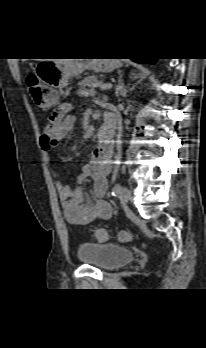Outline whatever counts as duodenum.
<instances>
[{
	"label": "duodenum",
	"mask_w": 206,
	"mask_h": 348,
	"mask_svg": "<svg viewBox=\"0 0 206 348\" xmlns=\"http://www.w3.org/2000/svg\"><path fill=\"white\" fill-rule=\"evenodd\" d=\"M115 135V116L112 112L105 113L104 125L97 131L96 140L100 147L113 149V138Z\"/></svg>",
	"instance_id": "duodenum-1"
}]
</instances>
